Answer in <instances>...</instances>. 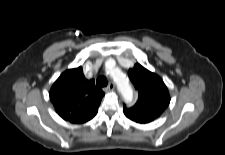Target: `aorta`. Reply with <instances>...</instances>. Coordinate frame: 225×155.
<instances>
[{"label": "aorta", "mask_w": 225, "mask_h": 155, "mask_svg": "<svg viewBox=\"0 0 225 155\" xmlns=\"http://www.w3.org/2000/svg\"><path fill=\"white\" fill-rule=\"evenodd\" d=\"M111 76L117 85V89L125 101L132 99V88L128 78L120 70L116 68L110 69Z\"/></svg>", "instance_id": "762f6f07"}]
</instances>
